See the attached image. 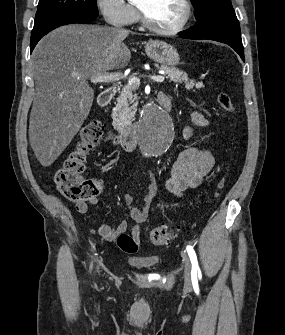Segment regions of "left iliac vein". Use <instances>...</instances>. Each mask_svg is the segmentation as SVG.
Returning a JSON list of instances; mask_svg holds the SVG:
<instances>
[{
	"label": "left iliac vein",
	"instance_id": "obj_1",
	"mask_svg": "<svg viewBox=\"0 0 285 335\" xmlns=\"http://www.w3.org/2000/svg\"><path fill=\"white\" fill-rule=\"evenodd\" d=\"M184 261V278L187 285L191 284V264L186 253L182 252Z\"/></svg>",
	"mask_w": 285,
	"mask_h": 335
}]
</instances>
